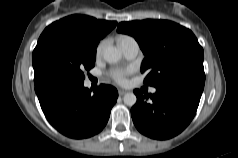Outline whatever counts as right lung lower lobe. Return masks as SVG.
I'll return each mask as SVG.
<instances>
[{"label": "right lung lower lobe", "mask_w": 238, "mask_h": 158, "mask_svg": "<svg viewBox=\"0 0 238 158\" xmlns=\"http://www.w3.org/2000/svg\"><path fill=\"white\" fill-rule=\"evenodd\" d=\"M83 83L53 71L34 75L35 92L47 120L75 139L99 133L118 97L110 85H100L92 93Z\"/></svg>", "instance_id": "right-lung-lower-lobe-1"}]
</instances>
